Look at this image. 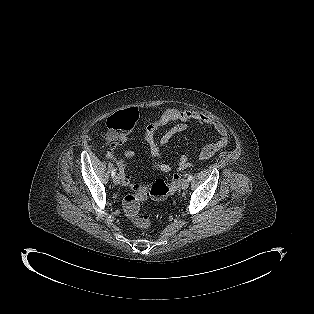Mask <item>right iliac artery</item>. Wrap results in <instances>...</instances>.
Here are the masks:
<instances>
[{
    "mask_svg": "<svg viewBox=\"0 0 314 314\" xmlns=\"http://www.w3.org/2000/svg\"><path fill=\"white\" fill-rule=\"evenodd\" d=\"M115 174H116V169L114 168V169L112 170L111 176L114 177Z\"/></svg>",
    "mask_w": 314,
    "mask_h": 314,
    "instance_id": "obj_1",
    "label": "right iliac artery"
}]
</instances>
